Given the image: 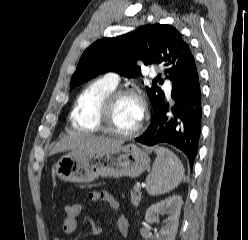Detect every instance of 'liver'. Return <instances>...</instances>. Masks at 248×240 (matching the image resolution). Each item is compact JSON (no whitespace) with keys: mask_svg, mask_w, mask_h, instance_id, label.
<instances>
[{"mask_svg":"<svg viewBox=\"0 0 248 240\" xmlns=\"http://www.w3.org/2000/svg\"><path fill=\"white\" fill-rule=\"evenodd\" d=\"M123 141L96 137L86 134H74L64 137L51 150L50 155L71 150L78 153H92L121 146Z\"/></svg>","mask_w":248,"mask_h":240,"instance_id":"1","label":"liver"}]
</instances>
